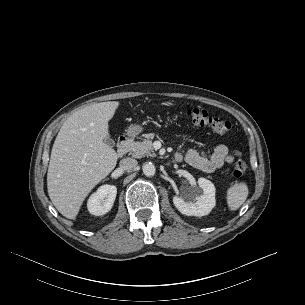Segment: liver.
Wrapping results in <instances>:
<instances>
[{
  "instance_id": "6515ba94",
  "label": "liver",
  "mask_w": 305,
  "mask_h": 305,
  "mask_svg": "<svg viewBox=\"0 0 305 305\" xmlns=\"http://www.w3.org/2000/svg\"><path fill=\"white\" fill-rule=\"evenodd\" d=\"M119 102L92 104L63 123L47 173L49 197L66 218L75 219L90 191L115 168L117 154L104 142Z\"/></svg>"
}]
</instances>
